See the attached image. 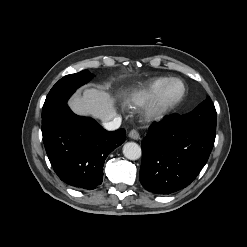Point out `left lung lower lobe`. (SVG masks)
I'll list each match as a JSON object with an SVG mask.
<instances>
[{"instance_id":"1","label":"left lung lower lobe","mask_w":247,"mask_h":247,"mask_svg":"<svg viewBox=\"0 0 247 247\" xmlns=\"http://www.w3.org/2000/svg\"><path fill=\"white\" fill-rule=\"evenodd\" d=\"M216 131L183 123L171 115L149 128L142 141L140 182L157 194H170L189 185L206 164Z\"/></svg>"}]
</instances>
